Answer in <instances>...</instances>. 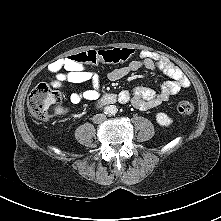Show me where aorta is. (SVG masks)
Returning a JSON list of instances; mask_svg holds the SVG:
<instances>
[{
    "instance_id": "762f6f07",
    "label": "aorta",
    "mask_w": 221,
    "mask_h": 221,
    "mask_svg": "<svg viewBox=\"0 0 221 221\" xmlns=\"http://www.w3.org/2000/svg\"><path fill=\"white\" fill-rule=\"evenodd\" d=\"M118 109L115 105H109L106 107V113L109 115H115Z\"/></svg>"
}]
</instances>
